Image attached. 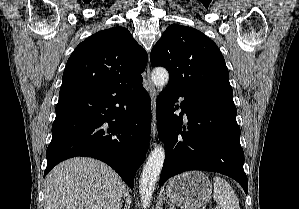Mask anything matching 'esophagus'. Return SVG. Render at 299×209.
I'll return each mask as SVG.
<instances>
[{
	"label": "esophagus",
	"mask_w": 299,
	"mask_h": 209,
	"mask_svg": "<svg viewBox=\"0 0 299 209\" xmlns=\"http://www.w3.org/2000/svg\"><path fill=\"white\" fill-rule=\"evenodd\" d=\"M146 79L148 83V91L151 98V105H152V122H151V132L152 137L154 138L157 132V118H156V98H157V91L150 79V67L149 64L146 68Z\"/></svg>",
	"instance_id": "esophagus-1"
}]
</instances>
